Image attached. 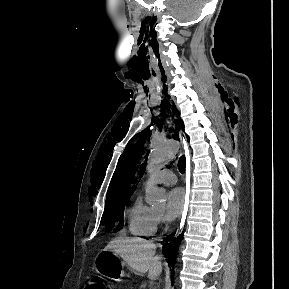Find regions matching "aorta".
Instances as JSON below:
<instances>
[{
    "mask_svg": "<svg viewBox=\"0 0 289 289\" xmlns=\"http://www.w3.org/2000/svg\"><path fill=\"white\" fill-rule=\"evenodd\" d=\"M179 142L174 139H155L151 144L147 169L153 173L168 164L178 153ZM166 193L157 186L146 189V201L151 206H161L165 203Z\"/></svg>",
    "mask_w": 289,
    "mask_h": 289,
    "instance_id": "1",
    "label": "aorta"
}]
</instances>
